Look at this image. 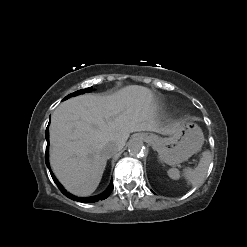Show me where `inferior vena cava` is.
<instances>
[{
    "label": "inferior vena cava",
    "mask_w": 247,
    "mask_h": 247,
    "mask_svg": "<svg viewBox=\"0 0 247 247\" xmlns=\"http://www.w3.org/2000/svg\"><path fill=\"white\" fill-rule=\"evenodd\" d=\"M104 151L107 155L112 156L116 154L118 151H120V147L115 143H108L104 147Z\"/></svg>",
    "instance_id": "obj_1"
}]
</instances>
